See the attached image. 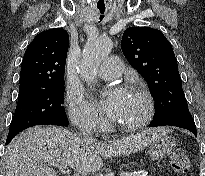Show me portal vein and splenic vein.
<instances>
[{"label": "portal vein and splenic vein", "instance_id": "1", "mask_svg": "<svg viewBox=\"0 0 205 176\" xmlns=\"http://www.w3.org/2000/svg\"><path fill=\"white\" fill-rule=\"evenodd\" d=\"M50 166H56L61 170H67L68 169V165L65 163H61V164H55V163H49Z\"/></svg>", "mask_w": 205, "mask_h": 176}]
</instances>
